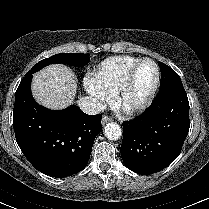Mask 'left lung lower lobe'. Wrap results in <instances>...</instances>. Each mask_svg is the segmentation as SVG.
<instances>
[{
    "instance_id": "0a47b994",
    "label": "left lung lower lobe",
    "mask_w": 209,
    "mask_h": 209,
    "mask_svg": "<svg viewBox=\"0 0 209 209\" xmlns=\"http://www.w3.org/2000/svg\"><path fill=\"white\" fill-rule=\"evenodd\" d=\"M190 127L189 102L183 86L160 90L150 107L123 123L121 157L135 173L159 172L175 160Z\"/></svg>"
}]
</instances>
